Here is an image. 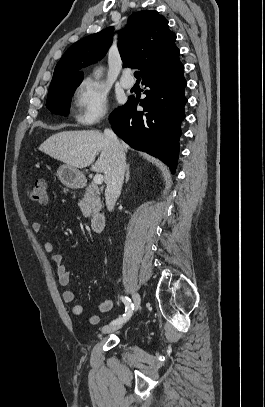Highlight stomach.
Wrapping results in <instances>:
<instances>
[{
  "label": "stomach",
  "instance_id": "obj_1",
  "mask_svg": "<svg viewBox=\"0 0 265 407\" xmlns=\"http://www.w3.org/2000/svg\"><path fill=\"white\" fill-rule=\"evenodd\" d=\"M57 176L68 188H78L84 181L83 173L69 165H61L57 170Z\"/></svg>",
  "mask_w": 265,
  "mask_h": 407
}]
</instances>
